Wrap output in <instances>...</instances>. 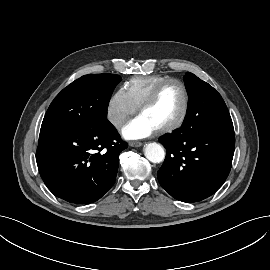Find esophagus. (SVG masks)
I'll list each match as a JSON object with an SVG mask.
<instances>
[{
  "label": "esophagus",
  "instance_id": "34e87169",
  "mask_svg": "<svg viewBox=\"0 0 270 270\" xmlns=\"http://www.w3.org/2000/svg\"><path fill=\"white\" fill-rule=\"evenodd\" d=\"M129 145L131 147H140V146H142V143L141 142H130Z\"/></svg>",
  "mask_w": 270,
  "mask_h": 270
}]
</instances>
